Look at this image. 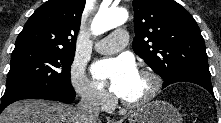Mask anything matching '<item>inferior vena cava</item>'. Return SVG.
Returning <instances> with one entry per match:
<instances>
[{"label":"inferior vena cava","instance_id":"602c4592","mask_svg":"<svg viewBox=\"0 0 221 123\" xmlns=\"http://www.w3.org/2000/svg\"><path fill=\"white\" fill-rule=\"evenodd\" d=\"M76 111L79 123H97L100 112L99 94L92 88H86Z\"/></svg>","mask_w":221,"mask_h":123}]
</instances>
